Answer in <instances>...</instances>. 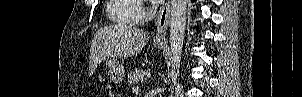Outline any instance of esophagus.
<instances>
[{
  "instance_id": "esophagus-1",
  "label": "esophagus",
  "mask_w": 302,
  "mask_h": 97,
  "mask_svg": "<svg viewBox=\"0 0 302 97\" xmlns=\"http://www.w3.org/2000/svg\"><path fill=\"white\" fill-rule=\"evenodd\" d=\"M170 18V0L166 1L158 12L156 19V34L154 41L163 43L166 41V32Z\"/></svg>"
}]
</instances>
